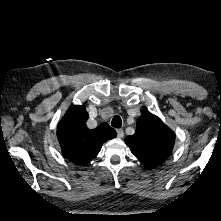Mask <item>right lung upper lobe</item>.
Returning a JSON list of instances; mask_svg holds the SVG:
<instances>
[{
	"mask_svg": "<svg viewBox=\"0 0 221 221\" xmlns=\"http://www.w3.org/2000/svg\"><path fill=\"white\" fill-rule=\"evenodd\" d=\"M88 113L84 105L73 106L57 127V137L63 155L71 162L85 164L100 151L104 142L116 137V131L107 123L95 129L86 126Z\"/></svg>",
	"mask_w": 221,
	"mask_h": 221,
	"instance_id": "obj_1",
	"label": "right lung upper lobe"
}]
</instances>
